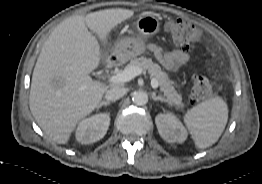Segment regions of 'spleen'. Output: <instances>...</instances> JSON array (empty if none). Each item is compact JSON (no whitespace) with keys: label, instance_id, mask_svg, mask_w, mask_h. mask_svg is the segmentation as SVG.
I'll use <instances>...</instances> for the list:
<instances>
[{"label":"spleen","instance_id":"obj_1","mask_svg":"<svg viewBox=\"0 0 262 184\" xmlns=\"http://www.w3.org/2000/svg\"><path fill=\"white\" fill-rule=\"evenodd\" d=\"M227 120L228 107L220 97H213L194 106L184 116L198 149L213 145L224 131Z\"/></svg>","mask_w":262,"mask_h":184}]
</instances>
